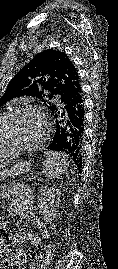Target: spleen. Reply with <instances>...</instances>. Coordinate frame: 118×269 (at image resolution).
Masks as SVG:
<instances>
[{"mask_svg":"<svg viewBox=\"0 0 118 269\" xmlns=\"http://www.w3.org/2000/svg\"><path fill=\"white\" fill-rule=\"evenodd\" d=\"M44 157L43 171L47 178H58L67 170L68 162L64 154L48 150L44 153Z\"/></svg>","mask_w":118,"mask_h":269,"instance_id":"spleen-1","label":"spleen"}]
</instances>
